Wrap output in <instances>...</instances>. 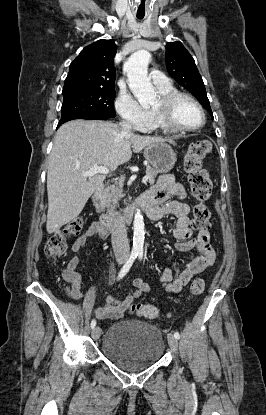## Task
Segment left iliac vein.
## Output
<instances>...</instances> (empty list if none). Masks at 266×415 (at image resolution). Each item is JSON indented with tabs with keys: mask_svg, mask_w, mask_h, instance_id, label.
Instances as JSON below:
<instances>
[{
	"mask_svg": "<svg viewBox=\"0 0 266 415\" xmlns=\"http://www.w3.org/2000/svg\"><path fill=\"white\" fill-rule=\"evenodd\" d=\"M167 338H168V344L170 348L172 349V351L177 352V349H178L177 339L172 334H168Z\"/></svg>",
	"mask_w": 266,
	"mask_h": 415,
	"instance_id": "obj_1",
	"label": "left iliac vein"
}]
</instances>
